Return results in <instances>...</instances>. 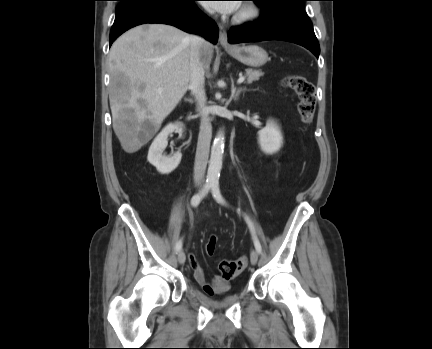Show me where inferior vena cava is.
<instances>
[{
	"label": "inferior vena cava",
	"mask_w": 432,
	"mask_h": 349,
	"mask_svg": "<svg viewBox=\"0 0 432 349\" xmlns=\"http://www.w3.org/2000/svg\"><path fill=\"white\" fill-rule=\"evenodd\" d=\"M190 40V83L189 89L197 101V110L201 114V125L194 163V182L202 184L208 163L212 126L209 121V110L206 106L205 71L200 58V49L205 40L198 35H191Z\"/></svg>",
	"instance_id": "inferior-vena-cava-1"
}]
</instances>
